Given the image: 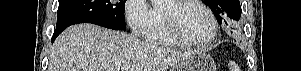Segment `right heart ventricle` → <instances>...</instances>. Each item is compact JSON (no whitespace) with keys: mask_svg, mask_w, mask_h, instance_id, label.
Segmentation results:
<instances>
[{"mask_svg":"<svg viewBox=\"0 0 301 71\" xmlns=\"http://www.w3.org/2000/svg\"><path fill=\"white\" fill-rule=\"evenodd\" d=\"M145 40L161 46H180V43L170 34L163 13L159 9L154 10V19L145 35Z\"/></svg>","mask_w":301,"mask_h":71,"instance_id":"obj_1","label":"right heart ventricle"}]
</instances>
